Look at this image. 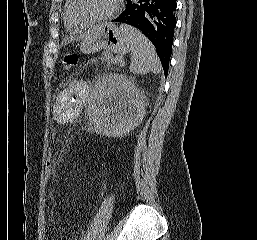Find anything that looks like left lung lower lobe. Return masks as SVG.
<instances>
[{"mask_svg": "<svg viewBox=\"0 0 257 240\" xmlns=\"http://www.w3.org/2000/svg\"><path fill=\"white\" fill-rule=\"evenodd\" d=\"M176 0H127L125 10L113 20L143 32L153 43L168 74L176 26Z\"/></svg>", "mask_w": 257, "mask_h": 240, "instance_id": "obj_1", "label": "left lung lower lobe"}]
</instances>
